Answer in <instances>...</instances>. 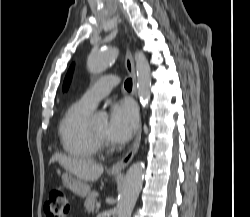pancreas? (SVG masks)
<instances>
[{"instance_id": "obj_1", "label": "pancreas", "mask_w": 250, "mask_h": 217, "mask_svg": "<svg viewBox=\"0 0 250 217\" xmlns=\"http://www.w3.org/2000/svg\"><path fill=\"white\" fill-rule=\"evenodd\" d=\"M97 192L92 191L89 193V195L86 198L85 201V209L87 212H94L95 210V202H96Z\"/></svg>"}]
</instances>
